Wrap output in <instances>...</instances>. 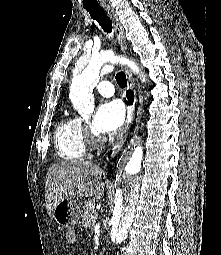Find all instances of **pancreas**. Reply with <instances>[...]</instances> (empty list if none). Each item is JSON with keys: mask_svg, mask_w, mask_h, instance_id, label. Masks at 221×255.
Segmentation results:
<instances>
[{"mask_svg": "<svg viewBox=\"0 0 221 255\" xmlns=\"http://www.w3.org/2000/svg\"><path fill=\"white\" fill-rule=\"evenodd\" d=\"M97 216L98 214L95 209V201L89 200L85 205V209L82 215V220H81L82 225L89 226V227L93 226L97 219Z\"/></svg>", "mask_w": 221, "mask_h": 255, "instance_id": "cf45deb5", "label": "pancreas"}]
</instances>
